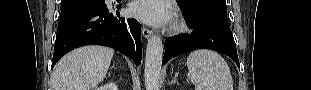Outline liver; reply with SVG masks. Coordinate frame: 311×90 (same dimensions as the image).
<instances>
[{"instance_id":"liver-1","label":"liver","mask_w":311,"mask_h":90,"mask_svg":"<svg viewBox=\"0 0 311 90\" xmlns=\"http://www.w3.org/2000/svg\"><path fill=\"white\" fill-rule=\"evenodd\" d=\"M114 55L112 48L84 46L66 54L51 77L52 90H91L105 78Z\"/></svg>"}]
</instances>
